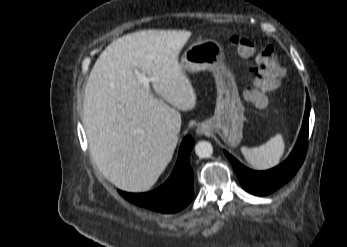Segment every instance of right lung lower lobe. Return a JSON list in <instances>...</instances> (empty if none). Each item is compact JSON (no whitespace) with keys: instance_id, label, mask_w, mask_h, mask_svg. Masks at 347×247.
Here are the masks:
<instances>
[{"instance_id":"1","label":"right lung lower lobe","mask_w":347,"mask_h":247,"mask_svg":"<svg viewBox=\"0 0 347 247\" xmlns=\"http://www.w3.org/2000/svg\"><path fill=\"white\" fill-rule=\"evenodd\" d=\"M194 145L191 136H186L180 146L176 165L169 179L159 188L147 193H119L132 203L161 213H175L185 208L192 200L193 170L189 155Z\"/></svg>"}]
</instances>
